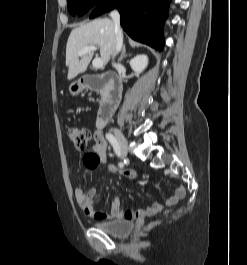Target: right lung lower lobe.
<instances>
[{
  "label": "right lung lower lobe",
  "mask_w": 247,
  "mask_h": 265,
  "mask_svg": "<svg viewBox=\"0 0 247 265\" xmlns=\"http://www.w3.org/2000/svg\"><path fill=\"white\" fill-rule=\"evenodd\" d=\"M170 0H108L92 12L95 18L113 8L121 15V25L134 40L161 51L164 45L163 23Z\"/></svg>",
  "instance_id": "98d812e1"
}]
</instances>
